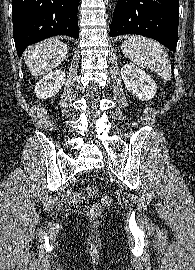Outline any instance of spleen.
I'll list each match as a JSON object with an SVG mask.
<instances>
[{
	"label": "spleen",
	"mask_w": 195,
	"mask_h": 270,
	"mask_svg": "<svg viewBox=\"0 0 195 270\" xmlns=\"http://www.w3.org/2000/svg\"><path fill=\"white\" fill-rule=\"evenodd\" d=\"M122 52L137 65L150 69L166 81L171 80V64L161 45L151 39L130 36L122 43Z\"/></svg>",
	"instance_id": "1"
}]
</instances>
